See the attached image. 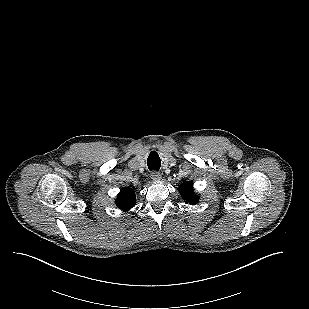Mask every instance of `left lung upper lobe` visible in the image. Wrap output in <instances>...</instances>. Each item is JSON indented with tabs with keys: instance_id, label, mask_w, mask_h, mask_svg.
Wrapping results in <instances>:
<instances>
[{
	"instance_id": "5c2ea615",
	"label": "left lung upper lobe",
	"mask_w": 309,
	"mask_h": 309,
	"mask_svg": "<svg viewBox=\"0 0 309 309\" xmlns=\"http://www.w3.org/2000/svg\"><path fill=\"white\" fill-rule=\"evenodd\" d=\"M193 190L194 189L192 181L182 183L179 187V192L182 198L185 202H189V204H196L198 202V196L194 195Z\"/></svg>"
}]
</instances>
